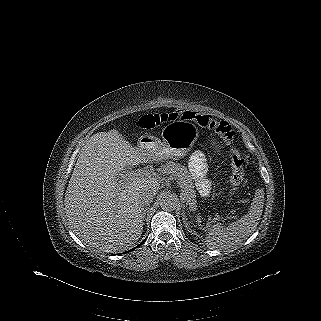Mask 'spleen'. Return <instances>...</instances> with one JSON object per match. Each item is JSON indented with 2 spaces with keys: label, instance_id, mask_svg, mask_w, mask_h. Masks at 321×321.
I'll return each mask as SVG.
<instances>
[{
  "label": "spleen",
  "instance_id": "obj_1",
  "mask_svg": "<svg viewBox=\"0 0 321 321\" xmlns=\"http://www.w3.org/2000/svg\"><path fill=\"white\" fill-rule=\"evenodd\" d=\"M264 206V191L255 193L251 209L239 220L232 222L228 227L221 224L213 225L206 237V244L211 248L227 249L238 244L251 235L257 228Z\"/></svg>",
  "mask_w": 321,
  "mask_h": 321
}]
</instances>
